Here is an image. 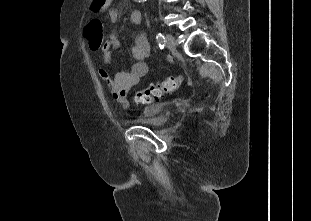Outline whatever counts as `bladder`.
I'll return each mask as SVG.
<instances>
[{
	"instance_id": "obj_1",
	"label": "bladder",
	"mask_w": 311,
	"mask_h": 221,
	"mask_svg": "<svg viewBox=\"0 0 311 221\" xmlns=\"http://www.w3.org/2000/svg\"><path fill=\"white\" fill-rule=\"evenodd\" d=\"M166 103H159L154 108H143V115H150L143 118H131L129 123L139 127H147L153 129H161L168 121L165 115Z\"/></svg>"
}]
</instances>
